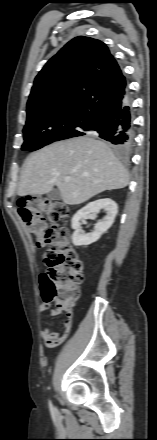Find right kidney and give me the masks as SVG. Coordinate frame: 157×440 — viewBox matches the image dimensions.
I'll return each mask as SVG.
<instances>
[{"instance_id":"1","label":"right kidney","mask_w":157,"mask_h":440,"mask_svg":"<svg viewBox=\"0 0 157 440\" xmlns=\"http://www.w3.org/2000/svg\"><path fill=\"white\" fill-rule=\"evenodd\" d=\"M100 210L106 211V216L96 223L93 232L83 234L80 221L88 218L92 213L100 212ZM117 212L118 206L115 201L110 198H103L90 202L85 207L81 208L72 218L71 226L72 229H74L72 235L73 244L75 246L90 245L99 240L114 223Z\"/></svg>"}]
</instances>
